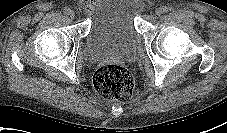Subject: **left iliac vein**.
<instances>
[{"instance_id": "1", "label": "left iliac vein", "mask_w": 227, "mask_h": 133, "mask_svg": "<svg viewBox=\"0 0 227 133\" xmlns=\"http://www.w3.org/2000/svg\"><path fill=\"white\" fill-rule=\"evenodd\" d=\"M156 15L160 16L161 14L164 13L163 8L159 7L155 10Z\"/></svg>"}]
</instances>
